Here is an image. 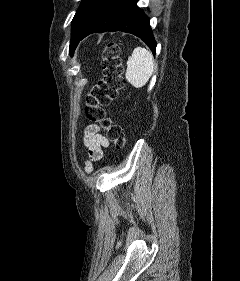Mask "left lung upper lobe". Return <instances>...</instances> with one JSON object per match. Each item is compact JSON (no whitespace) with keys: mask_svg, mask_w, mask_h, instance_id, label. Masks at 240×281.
I'll list each match as a JSON object with an SVG mask.
<instances>
[{"mask_svg":"<svg viewBox=\"0 0 240 281\" xmlns=\"http://www.w3.org/2000/svg\"><path fill=\"white\" fill-rule=\"evenodd\" d=\"M102 1L103 0H82L79 9L72 20V38L69 49L70 54H73V51L75 50L76 41L84 25L87 23Z\"/></svg>","mask_w":240,"mask_h":281,"instance_id":"1","label":"left lung upper lobe"}]
</instances>
